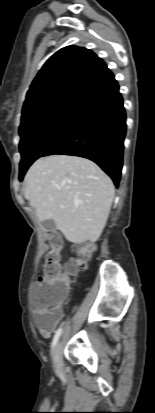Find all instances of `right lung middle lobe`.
<instances>
[{
    "mask_svg": "<svg viewBox=\"0 0 155 413\" xmlns=\"http://www.w3.org/2000/svg\"><path fill=\"white\" fill-rule=\"evenodd\" d=\"M77 106L78 104L61 105L20 126V180L23 179L29 166L42 157L61 135Z\"/></svg>",
    "mask_w": 155,
    "mask_h": 413,
    "instance_id": "obj_1",
    "label": "right lung middle lobe"
}]
</instances>
